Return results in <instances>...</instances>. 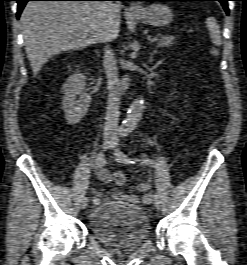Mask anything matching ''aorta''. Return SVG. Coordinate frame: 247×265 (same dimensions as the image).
<instances>
[{"label":"aorta","mask_w":247,"mask_h":265,"mask_svg":"<svg viewBox=\"0 0 247 265\" xmlns=\"http://www.w3.org/2000/svg\"><path fill=\"white\" fill-rule=\"evenodd\" d=\"M144 109V101L142 96L137 97L132 102L130 108L128 109L125 120L121 125V130L123 132H131L135 129L136 125L139 123Z\"/></svg>","instance_id":"762f6f07"}]
</instances>
